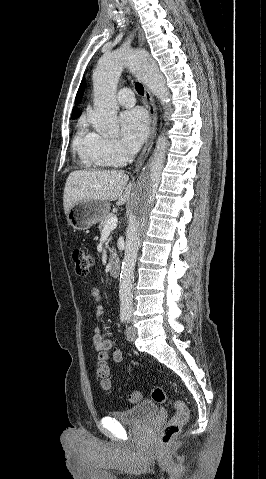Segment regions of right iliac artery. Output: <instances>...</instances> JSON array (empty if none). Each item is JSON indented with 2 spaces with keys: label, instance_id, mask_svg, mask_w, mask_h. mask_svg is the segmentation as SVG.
I'll list each match as a JSON object with an SVG mask.
<instances>
[{
  "label": "right iliac artery",
  "instance_id": "obj_1",
  "mask_svg": "<svg viewBox=\"0 0 266 479\" xmlns=\"http://www.w3.org/2000/svg\"><path fill=\"white\" fill-rule=\"evenodd\" d=\"M126 320H127V315H122L121 316V322L124 323V322H126Z\"/></svg>",
  "mask_w": 266,
  "mask_h": 479
}]
</instances>
